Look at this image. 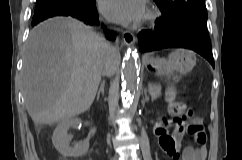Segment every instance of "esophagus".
<instances>
[{
    "label": "esophagus",
    "mask_w": 242,
    "mask_h": 160,
    "mask_svg": "<svg viewBox=\"0 0 242 160\" xmlns=\"http://www.w3.org/2000/svg\"><path fill=\"white\" fill-rule=\"evenodd\" d=\"M122 38L124 44H126L127 46H132L136 40L134 34L130 31H123Z\"/></svg>",
    "instance_id": "34e87169"
}]
</instances>
